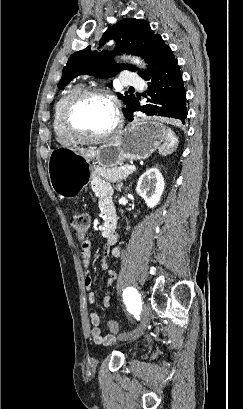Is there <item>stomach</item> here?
Wrapping results in <instances>:
<instances>
[{"mask_svg": "<svg viewBox=\"0 0 243 409\" xmlns=\"http://www.w3.org/2000/svg\"><path fill=\"white\" fill-rule=\"evenodd\" d=\"M166 136L165 126L155 119L130 123L112 141L92 148L54 149L48 160L51 187L59 196H73L86 186L94 166L116 167L125 160L148 158Z\"/></svg>", "mask_w": 243, "mask_h": 409, "instance_id": "stomach-1", "label": "stomach"}]
</instances>
